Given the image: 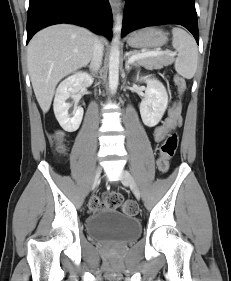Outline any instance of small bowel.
<instances>
[{
    "mask_svg": "<svg viewBox=\"0 0 231 281\" xmlns=\"http://www.w3.org/2000/svg\"><path fill=\"white\" fill-rule=\"evenodd\" d=\"M181 123V104L174 101L168 109V116L162 121L161 125L154 129V140L156 142L163 140L170 130L180 126Z\"/></svg>",
    "mask_w": 231,
    "mask_h": 281,
    "instance_id": "1",
    "label": "small bowel"
}]
</instances>
